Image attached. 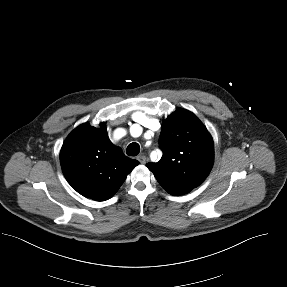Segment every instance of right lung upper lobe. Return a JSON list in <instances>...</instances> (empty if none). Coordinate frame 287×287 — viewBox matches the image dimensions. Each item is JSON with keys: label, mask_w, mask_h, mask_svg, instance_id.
Masks as SVG:
<instances>
[{"label": "right lung upper lobe", "mask_w": 287, "mask_h": 287, "mask_svg": "<svg viewBox=\"0 0 287 287\" xmlns=\"http://www.w3.org/2000/svg\"><path fill=\"white\" fill-rule=\"evenodd\" d=\"M60 163L69 184L96 201L111 198L139 164L112 144L105 122L98 128L88 123L75 128L63 143Z\"/></svg>", "instance_id": "obj_1"}]
</instances>
